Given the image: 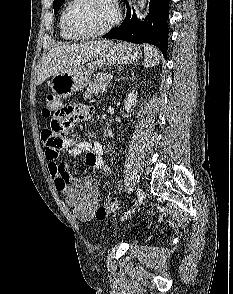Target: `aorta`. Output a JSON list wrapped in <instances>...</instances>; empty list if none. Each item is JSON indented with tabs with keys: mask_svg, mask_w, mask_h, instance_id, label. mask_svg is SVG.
I'll use <instances>...</instances> for the list:
<instances>
[{
	"mask_svg": "<svg viewBox=\"0 0 233 294\" xmlns=\"http://www.w3.org/2000/svg\"><path fill=\"white\" fill-rule=\"evenodd\" d=\"M147 0H138L137 10L139 13L144 12Z\"/></svg>",
	"mask_w": 233,
	"mask_h": 294,
	"instance_id": "aorta-1",
	"label": "aorta"
}]
</instances>
